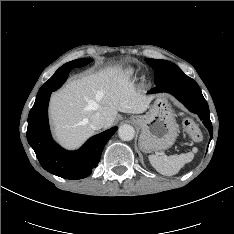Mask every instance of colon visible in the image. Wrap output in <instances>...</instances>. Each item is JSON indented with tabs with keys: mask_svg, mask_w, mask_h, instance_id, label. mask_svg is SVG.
I'll return each mask as SVG.
<instances>
[{
	"mask_svg": "<svg viewBox=\"0 0 234 234\" xmlns=\"http://www.w3.org/2000/svg\"><path fill=\"white\" fill-rule=\"evenodd\" d=\"M184 129L195 142H200L203 139V134L198 125L191 118H184Z\"/></svg>",
	"mask_w": 234,
	"mask_h": 234,
	"instance_id": "obj_1",
	"label": "colon"
}]
</instances>
